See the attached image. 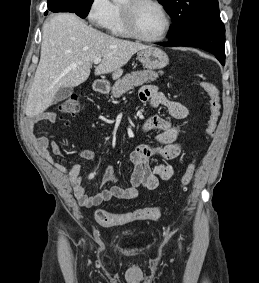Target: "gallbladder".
<instances>
[{
	"instance_id": "1",
	"label": "gallbladder",
	"mask_w": 259,
	"mask_h": 283,
	"mask_svg": "<svg viewBox=\"0 0 259 283\" xmlns=\"http://www.w3.org/2000/svg\"><path fill=\"white\" fill-rule=\"evenodd\" d=\"M73 93L72 87H62L58 90V92L55 95L54 103H58L60 101H63L67 99L70 95Z\"/></svg>"
}]
</instances>
